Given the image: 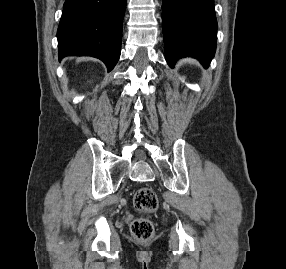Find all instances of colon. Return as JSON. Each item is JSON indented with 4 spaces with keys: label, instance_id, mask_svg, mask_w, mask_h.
<instances>
[{
    "label": "colon",
    "instance_id": "colon-1",
    "mask_svg": "<svg viewBox=\"0 0 286 269\" xmlns=\"http://www.w3.org/2000/svg\"><path fill=\"white\" fill-rule=\"evenodd\" d=\"M133 202L137 210L145 213L154 212L159 205L157 195L149 187L138 189ZM131 233L138 240H149L154 234V226L148 218H137L131 224Z\"/></svg>",
    "mask_w": 286,
    "mask_h": 269
}]
</instances>
